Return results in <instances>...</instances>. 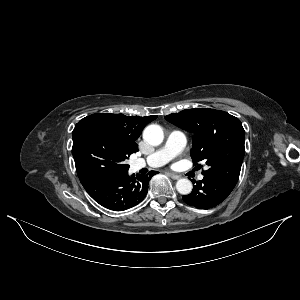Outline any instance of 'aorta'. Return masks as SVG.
I'll use <instances>...</instances> for the list:
<instances>
[{
    "mask_svg": "<svg viewBox=\"0 0 300 300\" xmlns=\"http://www.w3.org/2000/svg\"><path fill=\"white\" fill-rule=\"evenodd\" d=\"M144 139L152 146H157L163 142V129L156 124L149 125L144 130ZM192 182L186 178L179 179L176 183L177 191L182 195H188L192 191Z\"/></svg>",
    "mask_w": 300,
    "mask_h": 300,
    "instance_id": "762f6f07",
    "label": "aorta"
}]
</instances>
